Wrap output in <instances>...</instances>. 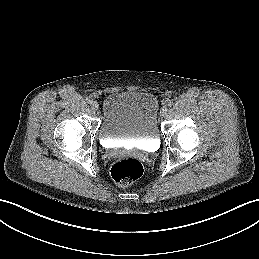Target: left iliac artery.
I'll return each mask as SVG.
<instances>
[{
  "instance_id": "obj_1",
  "label": "left iliac artery",
  "mask_w": 259,
  "mask_h": 259,
  "mask_svg": "<svg viewBox=\"0 0 259 259\" xmlns=\"http://www.w3.org/2000/svg\"><path fill=\"white\" fill-rule=\"evenodd\" d=\"M172 104H173V101H172V100H167V102H166V105H167V106H172Z\"/></svg>"
}]
</instances>
